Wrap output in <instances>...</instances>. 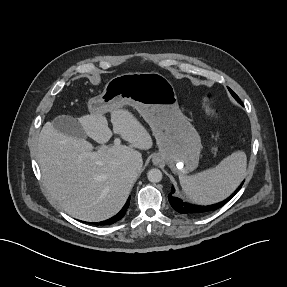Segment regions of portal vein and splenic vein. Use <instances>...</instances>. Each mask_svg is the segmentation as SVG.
I'll return each mask as SVG.
<instances>
[{
  "label": "portal vein and splenic vein",
  "instance_id": "18ae733b",
  "mask_svg": "<svg viewBox=\"0 0 287 287\" xmlns=\"http://www.w3.org/2000/svg\"><path fill=\"white\" fill-rule=\"evenodd\" d=\"M120 143H121V140H120L119 138H116V139L114 140V144H115V145H120ZM99 153H100V150H98L97 152H93L91 155H92L93 157H95V156H97Z\"/></svg>",
  "mask_w": 287,
  "mask_h": 287
}]
</instances>
